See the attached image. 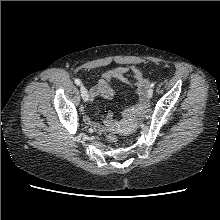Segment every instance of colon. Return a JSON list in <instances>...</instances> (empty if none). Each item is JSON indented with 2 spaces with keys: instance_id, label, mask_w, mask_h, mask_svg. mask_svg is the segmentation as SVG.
<instances>
[{
  "instance_id": "colon-1",
  "label": "colon",
  "mask_w": 220,
  "mask_h": 220,
  "mask_svg": "<svg viewBox=\"0 0 220 220\" xmlns=\"http://www.w3.org/2000/svg\"><path fill=\"white\" fill-rule=\"evenodd\" d=\"M106 138L110 143H116L117 142V136L112 132L109 133Z\"/></svg>"
}]
</instances>
